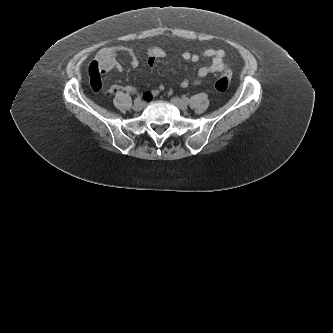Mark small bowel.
Returning <instances> with one entry per match:
<instances>
[{"label": "small bowel", "instance_id": "obj_1", "mask_svg": "<svg viewBox=\"0 0 333 333\" xmlns=\"http://www.w3.org/2000/svg\"><path fill=\"white\" fill-rule=\"evenodd\" d=\"M120 51H126L130 56V64L133 68H136L140 65V58L135 54L131 49L123 46L110 45L101 48L95 58L89 64V73H90V86L94 91H99L102 88L101 73H107L111 70H121L122 66L117 61L116 57ZM165 56L163 49L159 47L150 48L147 52V63L149 66H153L156 60L161 59ZM182 58L185 61H190L196 63L199 61L200 56L198 54H193L188 51L182 53ZM202 56L205 58L211 59L209 65L202 66L197 70L196 78L189 79L184 78L180 82L182 88H186L189 85H198L201 81L211 73L221 72L227 68L225 63V52L221 49H206ZM164 87L162 85L157 88L146 91L144 95L146 97H152L158 95L162 92ZM119 91H125L130 94L137 93V89L133 86H121L114 84L109 87L108 94L113 95Z\"/></svg>", "mask_w": 333, "mask_h": 333}]
</instances>
